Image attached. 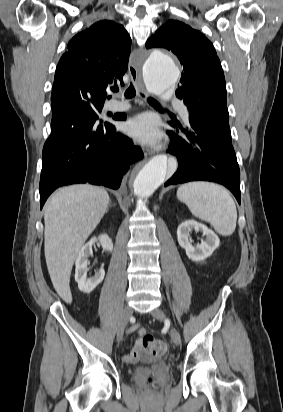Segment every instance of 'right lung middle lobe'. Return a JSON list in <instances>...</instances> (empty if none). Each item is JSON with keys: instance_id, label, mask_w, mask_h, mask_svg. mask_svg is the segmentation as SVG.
Returning a JSON list of instances; mask_svg holds the SVG:
<instances>
[{"instance_id": "obj_1", "label": "right lung middle lobe", "mask_w": 283, "mask_h": 412, "mask_svg": "<svg viewBox=\"0 0 283 412\" xmlns=\"http://www.w3.org/2000/svg\"><path fill=\"white\" fill-rule=\"evenodd\" d=\"M104 103H94L82 100L69 107L66 111L52 115L51 128L55 126L73 125L81 117L90 114L99 119L98 114L101 112Z\"/></svg>"}]
</instances>
